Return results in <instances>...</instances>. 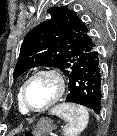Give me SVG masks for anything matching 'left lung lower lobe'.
I'll use <instances>...</instances> for the list:
<instances>
[{"instance_id": "left-lung-lower-lobe-1", "label": "left lung lower lobe", "mask_w": 117, "mask_h": 136, "mask_svg": "<svg viewBox=\"0 0 117 136\" xmlns=\"http://www.w3.org/2000/svg\"><path fill=\"white\" fill-rule=\"evenodd\" d=\"M68 79L69 94L66 102L81 104L99 114L102 70L99 50L95 43L88 53L76 60Z\"/></svg>"}]
</instances>
